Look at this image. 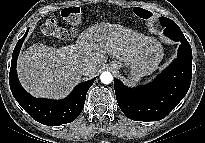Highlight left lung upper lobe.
I'll return each mask as SVG.
<instances>
[{
  "label": "left lung upper lobe",
  "mask_w": 205,
  "mask_h": 143,
  "mask_svg": "<svg viewBox=\"0 0 205 143\" xmlns=\"http://www.w3.org/2000/svg\"><path fill=\"white\" fill-rule=\"evenodd\" d=\"M159 20H160L161 25L164 27H175V25H177L174 21L166 17H161Z\"/></svg>",
  "instance_id": "5c2ea615"
}]
</instances>
